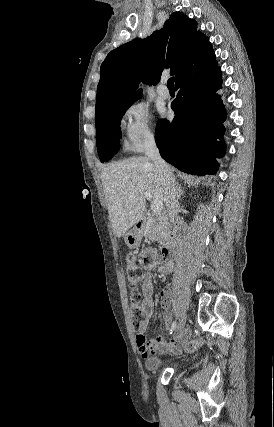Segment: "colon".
<instances>
[{
  "instance_id": "5ec220e1",
  "label": "colon",
  "mask_w": 274,
  "mask_h": 427,
  "mask_svg": "<svg viewBox=\"0 0 274 427\" xmlns=\"http://www.w3.org/2000/svg\"><path fill=\"white\" fill-rule=\"evenodd\" d=\"M146 262V254L143 252H130L127 257V274L126 278L129 285L130 294L132 300L130 302V310L132 316L135 319L141 318L143 316V310L139 307L138 304V295L139 291L137 285L141 280V269ZM201 344V339H195L188 342L187 348L189 350H196Z\"/></svg>"
}]
</instances>
